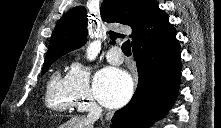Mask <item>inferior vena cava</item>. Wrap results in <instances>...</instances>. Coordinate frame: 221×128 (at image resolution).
Instances as JSON below:
<instances>
[{"label": "inferior vena cava", "instance_id": "1", "mask_svg": "<svg viewBox=\"0 0 221 128\" xmlns=\"http://www.w3.org/2000/svg\"><path fill=\"white\" fill-rule=\"evenodd\" d=\"M102 113V108L100 106H98L97 104H92L89 107V112L87 115V119L89 121H96L97 119H99V117L101 116Z\"/></svg>", "mask_w": 221, "mask_h": 128}]
</instances>
